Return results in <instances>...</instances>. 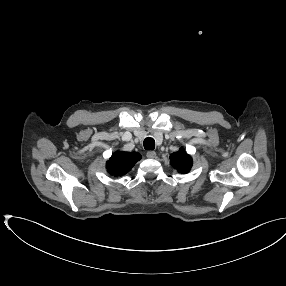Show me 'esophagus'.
<instances>
[{"label":"esophagus","mask_w":286,"mask_h":286,"mask_svg":"<svg viewBox=\"0 0 286 286\" xmlns=\"http://www.w3.org/2000/svg\"><path fill=\"white\" fill-rule=\"evenodd\" d=\"M146 156H147V158H149V159H153V158L156 157V152H155V151H148V152L146 153Z\"/></svg>","instance_id":"esophagus-1"}]
</instances>
